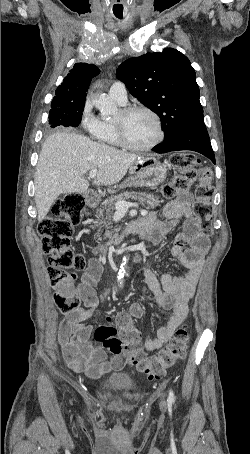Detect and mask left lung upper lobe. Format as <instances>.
<instances>
[{"mask_svg": "<svg viewBox=\"0 0 250 454\" xmlns=\"http://www.w3.org/2000/svg\"><path fill=\"white\" fill-rule=\"evenodd\" d=\"M117 77L160 117L164 142L204 124L195 70L178 50L165 48L161 53L130 58L119 66Z\"/></svg>", "mask_w": 250, "mask_h": 454, "instance_id": "5c2ea615", "label": "left lung upper lobe"}]
</instances>
